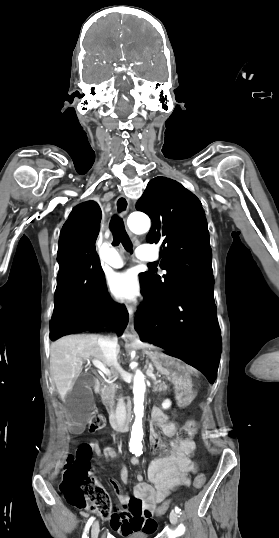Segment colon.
Segmentation results:
<instances>
[{
  "instance_id": "colon-1",
  "label": "colon",
  "mask_w": 279,
  "mask_h": 538,
  "mask_svg": "<svg viewBox=\"0 0 279 538\" xmlns=\"http://www.w3.org/2000/svg\"><path fill=\"white\" fill-rule=\"evenodd\" d=\"M104 419L96 416L92 423L93 430H100L104 427ZM197 431V424L194 420H189L177 433V441L181 444L189 445L188 456L192 471H196L197 463L194 460L197 453L192 438ZM94 450L85 444L80 446L74 455H69L63 470L60 490L66 500L77 508H89L95 511L101 518L110 519L114 514L122 517H139L153 512L147 509L143 503L131 498L125 504L124 509H112L111 499L105 488L97 481L90 471L89 463ZM205 476L198 473L194 479L193 486L196 490L203 487ZM171 507V502H164L157 510V514L165 513Z\"/></svg>"
}]
</instances>
